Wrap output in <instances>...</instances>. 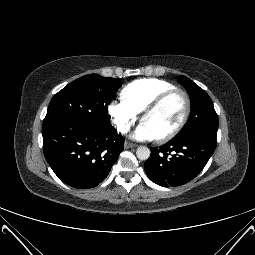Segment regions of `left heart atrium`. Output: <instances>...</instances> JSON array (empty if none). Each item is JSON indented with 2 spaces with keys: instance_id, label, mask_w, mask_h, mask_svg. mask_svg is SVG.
<instances>
[{
  "instance_id": "left-heart-atrium-1",
  "label": "left heart atrium",
  "mask_w": 255,
  "mask_h": 255,
  "mask_svg": "<svg viewBox=\"0 0 255 255\" xmlns=\"http://www.w3.org/2000/svg\"><path fill=\"white\" fill-rule=\"evenodd\" d=\"M132 138L138 141H151L157 139V136L145 122H142L132 134Z\"/></svg>"
}]
</instances>
